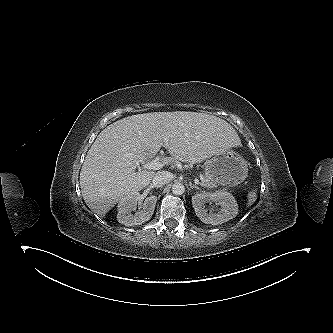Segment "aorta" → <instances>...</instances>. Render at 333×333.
I'll use <instances>...</instances> for the list:
<instances>
[{
	"label": "aorta",
	"mask_w": 333,
	"mask_h": 333,
	"mask_svg": "<svg viewBox=\"0 0 333 333\" xmlns=\"http://www.w3.org/2000/svg\"><path fill=\"white\" fill-rule=\"evenodd\" d=\"M172 192L175 195H182L185 192V186L182 183L176 182L172 185Z\"/></svg>",
	"instance_id": "762f6f07"
}]
</instances>
